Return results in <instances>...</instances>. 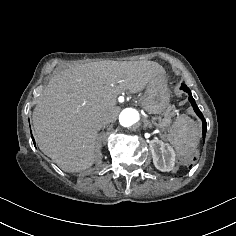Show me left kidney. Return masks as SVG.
<instances>
[{"label":"left kidney","mask_w":236,"mask_h":236,"mask_svg":"<svg viewBox=\"0 0 236 236\" xmlns=\"http://www.w3.org/2000/svg\"><path fill=\"white\" fill-rule=\"evenodd\" d=\"M149 144L155 167L160 171H170L175 161L174 150L171 147L166 148L158 139L151 140Z\"/></svg>","instance_id":"obj_1"}]
</instances>
